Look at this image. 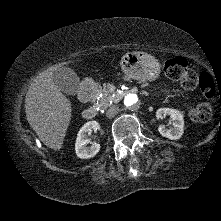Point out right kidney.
<instances>
[{"label":"right kidney","mask_w":221,"mask_h":221,"mask_svg":"<svg viewBox=\"0 0 221 221\" xmlns=\"http://www.w3.org/2000/svg\"><path fill=\"white\" fill-rule=\"evenodd\" d=\"M100 129V125L97 121H89L85 123L77 134L75 143L76 155L81 159H88L94 157L100 150V144L94 142L91 147H87V144L91 141L86 137L88 133L97 131Z\"/></svg>","instance_id":"obj_1"}]
</instances>
